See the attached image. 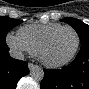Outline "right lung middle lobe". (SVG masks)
<instances>
[{
    "instance_id": "dd1d6c3e",
    "label": "right lung middle lobe",
    "mask_w": 89,
    "mask_h": 89,
    "mask_svg": "<svg viewBox=\"0 0 89 89\" xmlns=\"http://www.w3.org/2000/svg\"><path fill=\"white\" fill-rule=\"evenodd\" d=\"M22 23L20 20L12 19L7 16L0 17V45L5 42L7 33L16 25Z\"/></svg>"
}]
</instances>
